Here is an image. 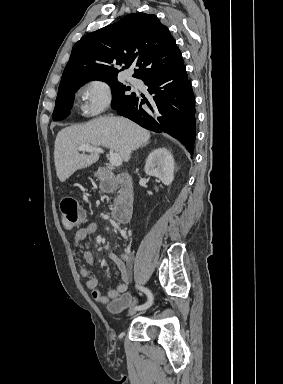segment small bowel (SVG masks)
<instances>
[{
    "mask_svg": "<svg viewBox=\"0 0 283 384\" xmlns=\"http://www.w3.org/2000/svg\"><path fill=\"white\" fill-rule=\"evenodd\" d=\"M98 229V224L91 222L84 225L75 233L72 239V247L73 254L77 259L79 257L82 242L85 241L90 235L96 233ZM84 258L88 263H93V256L90 252H85ZM109 258L117 266L121 275V281L114 288L107 290L105 293L98 289L97 278L91 275L88 269L82 266L80 267V273L86 279L85 284L87 289L91 292L93 300L100 304H110L113 300L117 299L120 295L127 291L130 283V271L124 260L115 253H111Z\"/></svg>",
    "mask_w": 283,
    "mask_h": 384,
    "instance_id": "1",
    "label": "small bowel"
}]
</instances>
